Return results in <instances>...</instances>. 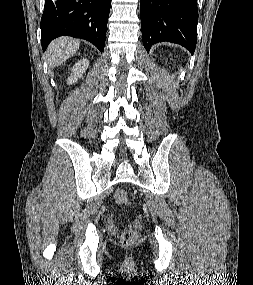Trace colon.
<instances>
[{
    "mask_svg": "<svg viewBox=\"0 0 253 285\" xmlns=\"http://www.w3.org/2000/svg\"><path fill=\"white\" fill-rule=\"evenodd\" d=\"M115 201L120 205L130 204V199L127 192L124 189H118L115 192ZM137 239V232L134 229L127 228L121 234V242L124 245H130Z\"/></svg>",
    "mask_w": 253,
    "mask_h": 285,
    "instance_id": "colon-1",
    "label": "colon"
}]
</instances>
